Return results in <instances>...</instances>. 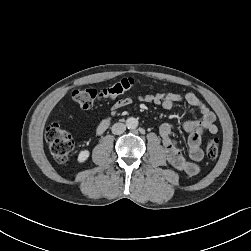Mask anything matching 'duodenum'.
<instances>
[{
  "label": "duodenum",
  "mask_w": 251,
  "mask_h": 251,
  "mask_svg": "<svg viewBox=\"0 0 251 251\" xmlns=\"http://www.w3.org/2000/svg\"><path fill=\"white\" fill-rule=\"evenodd\" d=\"M109 126V120H103L98 126V132L102 133Z\"/></svg>",
  "instance_id": "410a0bca"
}]
</instances>
